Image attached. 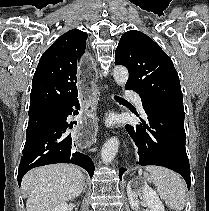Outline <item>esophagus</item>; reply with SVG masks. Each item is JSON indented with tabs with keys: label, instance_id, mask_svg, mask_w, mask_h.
Masks as SVG:
<instances>
[{
	"label": "esophagus",
	"instance_id": "esophagus-1",
	"mask_svg": "<svg viewBox=\"0 0 209 211\" xmlns=\"http://www.w3.org/2000/svg\"><path fill=\"white\" fill-rule=\"evenodd\" d=\"M95 65L92 56H82V64H79L77 71V86L79 98V106H85L80 109L81 119H78L77 133L73 134L72 140L74 145H79V149H90V145H95V137L97 129L95 128V108L94 94H96Z\"/></svg>",
	"mask_w": 209,
	"mask_h": 211
}]
</instances>
